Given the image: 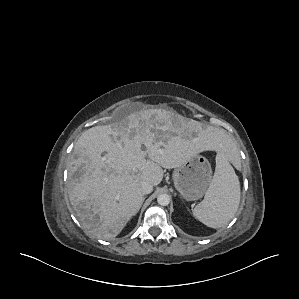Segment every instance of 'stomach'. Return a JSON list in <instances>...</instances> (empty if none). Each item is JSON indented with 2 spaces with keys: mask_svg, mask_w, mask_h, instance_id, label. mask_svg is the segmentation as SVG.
Returning <instances> with one entry per match:
<instances>
[{
  "mask_svg": "<svg viewBox=\"0 0 299 299\" xmlns=\"http://www.w3.org/2000/svg\"><path fill=\"white\" fill-rule=\"evenodd\" d=\"M174 186L187 201L202 198L212 181V168L209 161L196 155L173 172Z\"/></svg>",
  "mask_w": 299,
  "mask_h": 299,
  "instance_id": "stomach-1",
  "label": "stomach"
}]
</instances>
